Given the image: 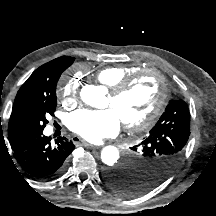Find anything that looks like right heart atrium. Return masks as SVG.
I'll return each instance as SVG.
<instances>
[{
    "instance_id": "right-heart-atrium-1",
    "label": "right heart atrium",
    "mask_w": 216,
    "mask_h": 216,
    "mask_svg": "<svg viewBox=\"0 0 216 216\" xmlns=\"http://www.w3.org/2000/svg\"><path fill=\"white\" fill-rule=\"evenodd\" d=\"M80 82L75 78L64 77L61 80L57 96L67 104H76Z\"/></svg>"
}]
</instances>
